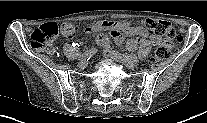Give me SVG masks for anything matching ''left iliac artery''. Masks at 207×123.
Wrapping results in <instances>:
<instances>
[{"label": "left iliac artery", "mask_w": 207, "mask_h": 123, "mask_svg": "<svg viewBox=\"0 0 207 123\" xmlns=\"http://www.w3.org/2000/svg\"><path fill=\"white\" fill-rule=\"evenodd\" d=\"M112 53L115 54V55L121 56L124 59L129 60V61H133V62L137 61L136 55H130V54L121 55L120 53H118L116 51H112Z\"/></svg>", "instance_id": "44dca946"}]
</instances>
